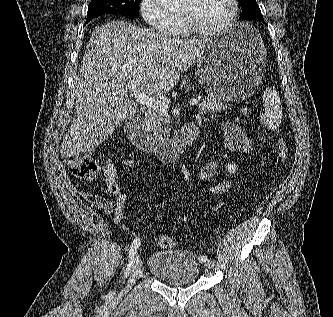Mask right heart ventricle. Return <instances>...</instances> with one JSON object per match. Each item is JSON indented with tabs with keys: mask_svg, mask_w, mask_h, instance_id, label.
I'll return each mask as SVG.
<instances>
[{
	"mask_svg": "<svg viewBox=\"0 0 333 317\" xmlns=\"http://www.w3.org/2000/svg\"><path fill=\"white\" fill-rule=\"evenodd\" d=\"M175 35L178 37H186L189 35V31L186 29L182 20L179 18H178V29L175 32Z\"/></svg>",
	"mask_w": 333,
	"mask_h": 317,
	"instance_id": "1",
	"label": "right heart ventricle"
}]
</instances>
